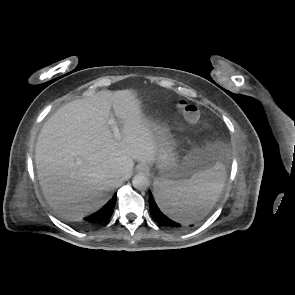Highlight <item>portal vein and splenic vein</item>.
I'll list each match as a JSON object with an SVG mask.
<instances>
[{"label":"portal vein and splenic vein","mask_w":295,"mask_h":295,"mask_svg":"<svg viewBox=\"0 0 295 295\" xmlns=\"http://www.w3.org/2000/svg\"><path fill=\"white\" fill-rule=\"evenodd\" d=\"M108 124L111 126L112 131H113V135L116 139H120L121 138V132L117 126V123L115 121V119L113 117H111L108 121Z\"/></svg>","instance_id":"obj_1"}]
</instances>
